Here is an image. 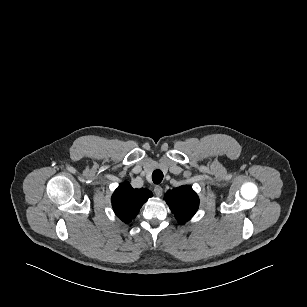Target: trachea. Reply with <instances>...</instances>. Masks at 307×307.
I'll list each match as a JSON object with an SVG mask.
<instances>
[{
    "mask_svg": "<svg viewBox=\"0 0 307 307\" xmlns=\"http://www.w3.org/2000/svg\"><path fill=\"white\" fill-rule=\"evenodd\" d=\"M152 180L155 184H159L163 180V172L161 170H155L152 173Z\"/></svg>",
    "mask_w": 307,
    "mask_h": 307,
    "instance_id": "trachea-1",
    "label": "trachea"
}]
</instances>
